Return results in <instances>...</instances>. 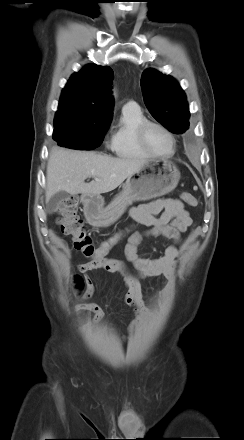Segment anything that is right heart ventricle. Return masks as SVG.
Here are the masks:
<instances>
[{
	"mask_svg": "<svg viewBox=\"0 0 244 440\" xmlns=\"http://www.w3.org/2000/svg\"><path fill=\"white\" fill-rule=\"evenodd\" d=\"M147 120L139 109H122L119 122L115 126L110 142L111 150L121 158H148L136 141L137 126Z\"/></svg>",
	"mask_w": 244,
	"mask_h": 440,
	"instance_id": "obj_1",
	"label": "right heart ventricle"
}]
</instances>
